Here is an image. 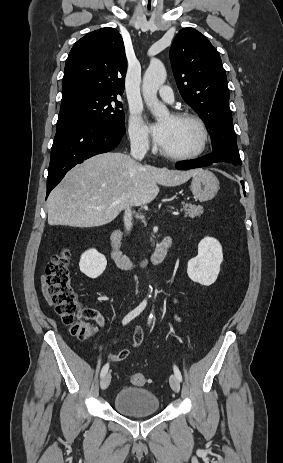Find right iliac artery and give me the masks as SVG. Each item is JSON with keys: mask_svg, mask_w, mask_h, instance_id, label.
Returning <instances> with one entry per match:
<instances>
[{"mask_svg": "<svg viewBox=\"0 0 283 463\" xmlns=\"http://www.w3.org/2000/svg\"><path fill=\"white\" fill-rule=\"evenodd\" d=\"M147 305V301L146 300H143L139 306H137L134 310H132L130 313H128L122 323L123 325H126L127 323H129L132 319H134L136 316H138L146 307ZM108 369H109V364H105L104 367L102 368L101 370V377H103L107 372H108Z\"/></svg>", "mask_w": 283, "mask_h": 463, "instance_id": "obj_1", "label": "right iliac artery"}]
</instances>
